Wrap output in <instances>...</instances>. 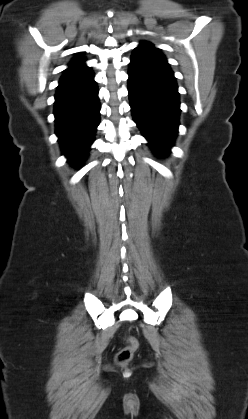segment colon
Wrapping results in <instances>:
<instances>
[{"label":"colon","mask_w":248,"mask_h":419,"mask_svg":"<svg viewBox=\"0 0 248 419\" xmlns=\"http://www.w3.org/2000/svg\"><path fill=\"white\" fill-rule=\"evenodd\" d=\"M138 348L139 343L136 338L132 336L126 337V345L116 353V363L121 366L128 364Z\"/></svg>","instance_id":"colon-1"}]
</instances>
